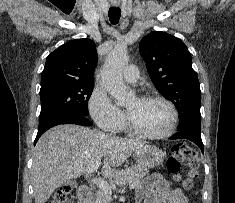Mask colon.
<instances>
[{"label": "colon", "mask_w": 235, "mask_h": 203, "mask_svg": "<svg viewBox=\"0 0 235 203\" xmlns=\"http://www.w3.org/2000/svg\"><path fill=\"white\" fill-rule=\"evenodd\" d=\"M199 159L196 151L188 144H176L167 160V169L179 181L184 189H190L197 176ZM72 189L63 185L53 194L47 203H72Z\"/></svg>", "instance_id": "1"}]
</instances>
